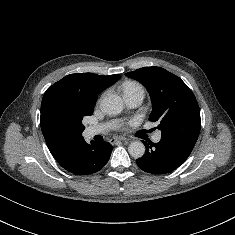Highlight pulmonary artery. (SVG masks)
<instances>
[{
    "mask_svg": "<svg viewBox=\"0 0 235 235\" xmlns=\"http://www.w3.org/2000/svg\"><path fill=\"white\" fill-rule=\"evenodd\" d=\"M144 96H145V93L141 86L126 89L124 90V93H123L125 103L129 108H135L139 106L142 103ZM114 126H115L114 122L91 125L86 128L85 133L87 137H93L97 134H102L112 129ZM152 140L153 142L158 143L161 140V132H157L153 136Z\"/></svg>",
    "mask_w": 235,
    "mask_h": 235,
    "instance_id": "pulmonary-artery-1",
    "label": "pulmonary artery"
}]
</instances>
